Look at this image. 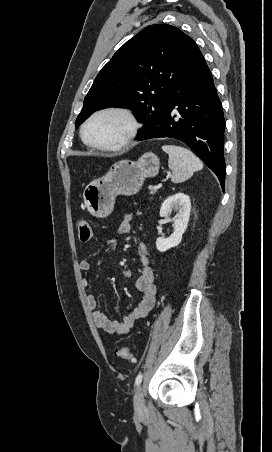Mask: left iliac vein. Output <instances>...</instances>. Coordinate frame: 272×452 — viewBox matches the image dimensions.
<instances>
[{
	"label": "left iliac vein",
	"mask_w": 272,
	"mask_h": 452,
	"mask_svg": "<svg viewBox=\"0 0 272 452\" xmlns=\"http://www.w3.org/2000/svg\"><path fill=\"white\" fill-rule=\"evenodd\" d=\"M134 410L136 414H142L145 410L144 396L142 387L138 386L134 395Z\"/></svg>",
	"instance_id": "left-iliac-vein-1"
}]
</instances>
